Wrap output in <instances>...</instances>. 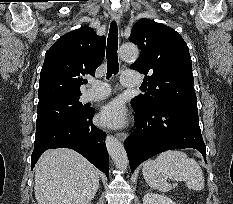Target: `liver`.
I'll return each instance as SVG.
<instances>
[{
    "mask_svg": "<svg viewBox=\"0 0 233 204\" xmlns=\"http://www.w3.org/2000/svg\"><path fill=\"white\" fill-rule=\"evenodd\" d=\"M98 187V170L74 150H47L36 163L38 204H89Z\"/></svg>",
    "mask_w": 233,
    "mask_h": 204,
    "instance_id": "obj_1",
    "label": "liver"
}]
</instances>
